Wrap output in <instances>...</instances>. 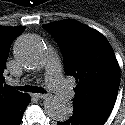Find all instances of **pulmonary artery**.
I'll return each mask as SVG.
<instances>
[{"mask_svg":"<svg viewBox=\"0 0 125 125\" xmlns=\"http://www.w3.org/2000/svg\"><path fill=\"white\" fill-rule=\"evenodd\" d=\"M46 79L54 92L65 101L74 98V91L60 74V66L57 60L49 59L46 64Z\"/></svg>","mask_w":125,"mask_h":125,"instance_id":"e3ab8cb5","label":"pulmonary artery"}]
</instances>
